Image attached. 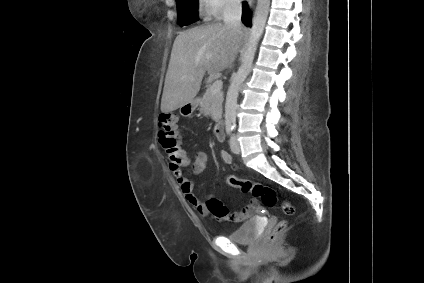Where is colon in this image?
<instances>
[{"instance_id": "1", "label": "colon", "mask_w": 424, "mask_h": 283, "mask_svg": "<svg viewBox=\"0 0 424 283\" xmlns=\"http://www.w3.org/2000/svg\"><path fill=\"white\" fill-rule=\"evenodd\" d=\"M177 115L174 113H164L159 115L158 119V139L161 147L167 154L170 168L177 170L184 165H187L188 158L180 146V137L177 132ZM225 182L228 186L241 190L245 194L252 195L255 199H259L266 207L272 208L279 202V197L276 191L265 184L253 182L249 179L239 178L236 176H227ZM206 206L208 212L219 220H232L235 214H231L223 203L211 197L207 200ZM282 209L286 215H294L295 207L289 201H282ZM251 204L246 213H251L253 210ZM286 228V222L279 223L270 233V240L273 241Z\"/></svg>"}]
</instances>
